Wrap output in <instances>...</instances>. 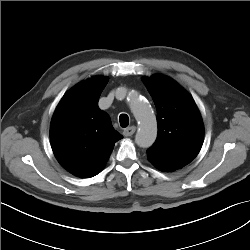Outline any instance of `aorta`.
I'll use <instances>...</instances> for the list:
<instances>
[{"label": "aorta", "instance_id": "762f6f07", "mask_svg": "<svg viewBox=\"0 0 250 250\" xmlns=\"http://www.w3.org/2000/svg\"><path fill=\"white\" fill-rule=\"evenodd\" d=\"M129 105L138 121L139 128L135 136V142L139 147L149 148L157 137V122L151 106L139 98L136 92H129Z\"/></svg>", "mask_w": 250, "mask_h": 250}]
</instances>
